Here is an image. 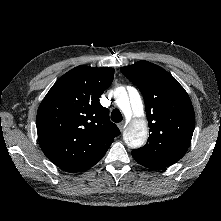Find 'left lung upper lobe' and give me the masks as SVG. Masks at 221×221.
<instances>
[{"instance_id": "left-lung-upper-lobe-1", "label": "left lung upper lobe", "mask_w": 221, "mask_h": 221, "mask_svg": "<svg viewBox=\"0 0 221 221\" xmlns=\"http://www.w3.org/2000/svg\"><path fill=\"white\" fill-rule=\"evenodd\" d=\"M120 70L141 91L150 127L146 145L132 155L169 167L186 153L195 127L187 92L170 73L148 61Z\"/></svg>"}]
</instances>
